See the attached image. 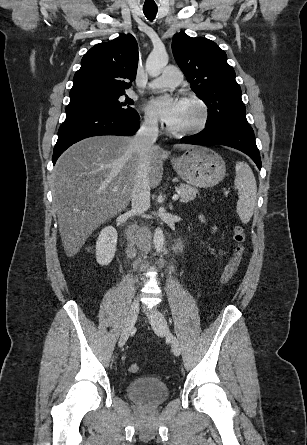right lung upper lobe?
Here are the masks:
<instances>
[{
    "label": "right lung upper lobe",
    "instance_id": "obj_1",
    "mask_svg": "<svg viewBox=\"0 0 307 445\" xmlns=\"http://www.w3.org/2000/svg\"><path fill=\"white\" fill-rule=\"evenodd\" d=\"M138 45L131 34L92 47L75 73L70 98L125 94L135 80Z\"/></svg>",
    "mask_w": 307,
    "mask_h": 445
}]
</instances>
